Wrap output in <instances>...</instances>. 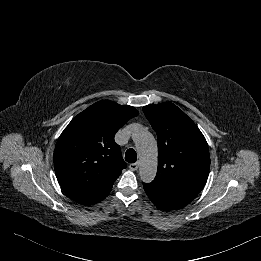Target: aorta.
Masks as SVG:
<instances>
[{
    "mask_svg": "<svg viewBox=\"0 0 261 261\" xmlns=\"http://www.w3.org/2000/svg\"><path fill=\"white\" fill-rule=\"evenodd\" d=\"M140 159L139 175L144 183L154 180L157 172V143L145 128H138L132 135Z\"/></svg>",
    "mask_w": 261,
    "mask_h": 261,
    "instance_id": "762f6f07",
    "label": "aorta"
}]
</instances>
